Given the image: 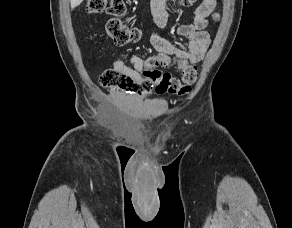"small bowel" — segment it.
I'll return each mask as SVG.
<instances>
[{"mask_svg":"<svg viewBox=\"0 0 292 228\" xmlns=\"http://www.w3.org/2000/svg\"><path fill=\"white\" fill-rule=\"evenodd\" d=\"M165 0H152L151 7L155 19L161 29L167 24V14L164 10ZM216 6V0H202L194 11L193 19L190 23L181 24L177 27L176 33L188 39L186 48H178L169 40L164 38L161 33H155L151 36V44L159 53L155 58L175 59L178 64L185 66H195L199 63L210 44V35L206 31L208 25V16ZM148 60H144L136 54L131 55L127 65L121 60L113 63V69L123 72L134 80L139 81L145 68H148ZM179 68V67H178Z\"/></svg>","mask_w":292,"mask_h":228,"instance_id":"1","label":"small bowel"}]
</instances>
